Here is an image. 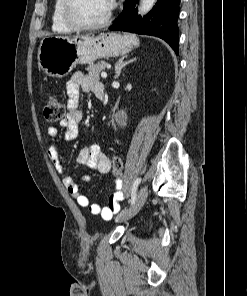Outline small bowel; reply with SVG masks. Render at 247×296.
Wrapping results in <instances>:
<instances>
[{"label": "small bowel", "instance_id": "c3829d8e", "mask_svg": "<svg viewBox=\"0 0 247 296\" xmlns=\"http://www.w3.org/2000/svg\"><path fill=\"white\" fill-rule=\"evenodd\" d=\"M103 88L102 84L94 78L84 75L81 72H76L67 82L66 91L68 96V114L61 121L60 125L64 128V139L71 141L76 138L79 131V125L82 121L83 114L79 109L80 91L93 93ZM48 135L52 139L58 137V129L54 126L48 128ZM49 158L55 169L61 174L62 182L67 191L72 195L78 205L87 207L91 214L99 215L104 219H111L112 216L120 211V202L125 196L122 191V182L118 180L113 194L110 196L108 204L101 206L97 203H91L89 199L80 192L78 184L72 176L68 174L60 161L59 146L53 143L48 151ZM77 163L87 166L92 171L106 174L111 169V161L97 145H91L82 148L76 159ZM92 180L91 175H84L81 178L82 182L88 183Z\"/></svg>", "mask_w": 247, "mask_h": 296}]
</instances>
